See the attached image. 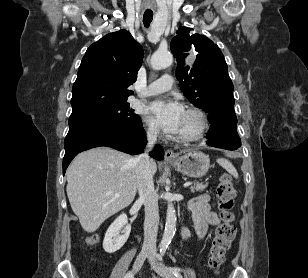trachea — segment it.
Instances as JSON below:
<instances>
[{
  "label": "trachea",
  "instance_id": "1",
  "mask_svg": "<svg viewBox=\"0 0 308 278\" xmlns=\"http://www.w3.org/2000/svg\"><path fill=\"white\" fill-rule=\"evenodd\" d=\"M152 19H153V12H151V11H146V12L144 13V15H143V23H144V26H145L146 28L149 27V25H150Z\"/></svg>",
  "mask_w": 308,
  "mask_h": 278
}]
</instances>
